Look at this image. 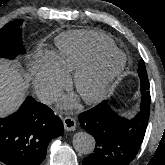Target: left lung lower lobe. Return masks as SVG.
<instances>
[{"mask_svg": "<svg viewBox=\"0 0 165 165\" xmlns=\"http://www.w3.org/2000/svg\"><path fill=\"white\" fill-rule=\"evenodd\" d=\"M150 108L141 105L131 120L117 115L103 101L78 117L81 127L96 141L94 152L83 159V165H128L143 141Z\"/></svg>", "mask_w": 165, "mask_h": 165, "instance_id": "left-lung-lower-lobe-1", "label": "left lung lower lobe"}]
</instances>
